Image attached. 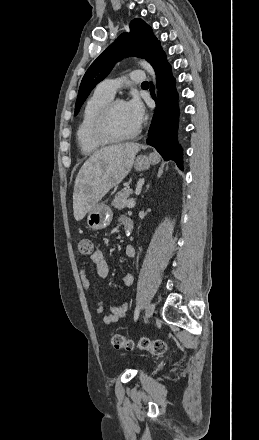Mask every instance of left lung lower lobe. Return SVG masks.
Here are the masks:
<instances>
[{"mask_svg": "<svg viewBox=\"0 0 259 440\" xmlns=\"http://www.w3.org/2000/svg\"><path fill=\"white\" fill-rule=\"evenodd\" d=\"M149 62L153 66L159 86V102L148 132L147 144L167 160H174L180 169L182 167V150L176 141L178 120V94L175 89V79L171 73L165 52L159 46L152 54ZM150 92L154 97V86L150 83Z\"/></svg>", "mask_w": 259, "mask_h": 440, "instance_id": "1", "label": "left lung lower lobe"}]
</instances>
